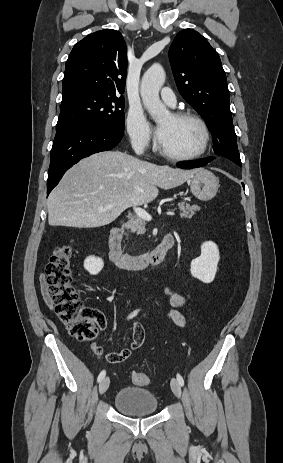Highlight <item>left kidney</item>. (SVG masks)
Listing matches in <instances>:
<instances>
[{
  "instance_id": "5707ae66",
  "label": "left kidney",
  "mask_w": 283,
  "mask_h": 463,
  "mask_svg": "<svg viewBox=\"0 0 283 463\" xmlns=\"http://www.w3.org/2000/svg\"><path fill=\"white\" fill-rule=\"evenodd\" d=\"M219 250L214 242L208 241L201 245V255L191 261V275L203 283H211L217 272Z\"/></svg>"
}]
</instances>
